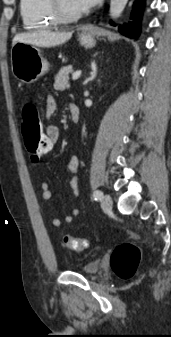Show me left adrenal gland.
Segmentation results:
<instances>
[{"instance_id": "obj_1", "label": "left adrenal gland", "mask_w": 171, "mask_h": 337, "mask_svg": "<svg viewBox=\"0 0 171 337\" xmlns=\"http://www.w3.org/2000/svg\"><path fill=\"white\" fill-rule=\"evenodd\" d=\"M91 73H90V77L88 79H86V81L84 82V85L87 84L89 81H92L95 79L96 75H97V67L95 63H92L91 65Z\"/></svg>"}]
</instances>
